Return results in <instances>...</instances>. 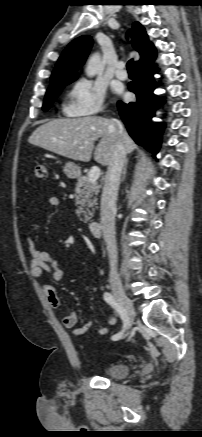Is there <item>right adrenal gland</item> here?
<instances>
[{
  "label": "right adrenal gland",
  "mask_w": 202,
  "mask_h": 437,
  "mask_svg": "<svg viewBox=\"0 0 202 437\" xmlns=\"http://www.w3.org/2000/svg\"><path fill=\"white\" fill-rule=\"evenodd\" d=\"M127 164H128V159H126L125 164H124V168H123V172H122V181L125 178Z\"/></svg>",
  "instance_id": "1"
}]
</instances>
